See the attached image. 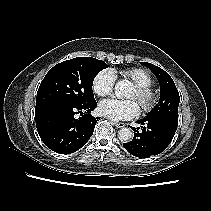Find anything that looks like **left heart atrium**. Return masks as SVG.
Wrapping results in <instances>:
<instances>
[{"mask_svg": "<svg viewBox=\"0 0 211 211\" xmlns=\"http://www.w3.org/2000/svg\"><path fill=\"white\" fill-rule=\"evenodd\" d=\"M140 109L135 100L108 99L99 104L101 115L112 120H126L138 115Z\"/></svg>", "mask_w": 211, "mask_h": 211, "instance_id": "left-heart-atrium-1", "label": "left heart atrium"}]
</instances>
